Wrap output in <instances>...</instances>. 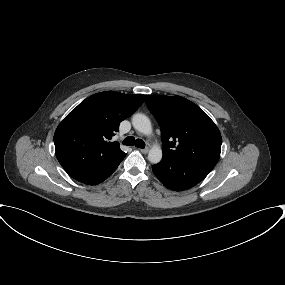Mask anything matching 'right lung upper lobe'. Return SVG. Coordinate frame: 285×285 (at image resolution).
Listing matches in <instances>:
<instances>
[{"label":"right lung upper lobe","instance_id":"right-lung-upper-lobe-1","mask_svg":"<svg viewBox=\"0 0 285 285\" xmlns=\"http://www.w3.org/2000/svg\"><path fill=\"white\" fill-rule=\"evenodd\" d=\"M142 94L100 92L82 101L54 134L56 157L64 166L103 169L126 156L118 142H108L119 124L144 102Z\"/></svg>","mask_w":285,"mask_h":285}]
</instances>
